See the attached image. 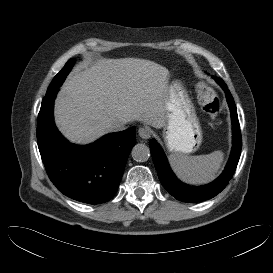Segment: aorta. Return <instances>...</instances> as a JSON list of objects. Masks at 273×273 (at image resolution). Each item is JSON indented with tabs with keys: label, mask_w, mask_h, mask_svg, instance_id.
Listing matches in <instances>:
<instances>
[{
	"label": "aorta",
	"mask_w": 273,
	"mask_h": 273,
	"mask_svg": "<svg viewBox=\"0 0 273 273\" xmlns=\"http://www.w3.org/2000/svg\"><path fill=\"white\" fill-rule=\"evenodd\" d=\"M132 158L137 162H145L150 157V149L145 144H136L131 151Z\"/></svg>",
	"instance_id": "aorta-1"
}]
</instances>
